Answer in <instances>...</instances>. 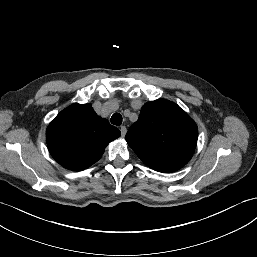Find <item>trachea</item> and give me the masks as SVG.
I'll return each instance as SVG.
<instances>
[{"label": "trachea", "mask_w": 257, "mask_h": 257, "mask_svg": "<svg viewBox=\"0 0 257 257\" xmlns=\"http://www.w3.org/2000/svg\"><path fill=\"white\" fill-rule=\"evenodd\" d=\"M111 123L114 125H121L122 124V116L119 113H114L111 117Z\"/></svg>", "instance_id": "1"}]
</instances>
